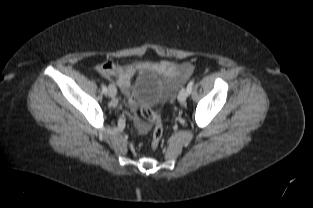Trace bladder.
<instances>
[{
    "instance_id": "31cf9c89",
    "label": "bladder",
    "mask_w": 313,
    "mask_h": 208,
    "mask_svg": "<svg viewBox=\"0 0 313 208\" xmlns=\"http://www.w3.org/2000/svg\"><path fill=\"white\" fill-rule=\"evenodd\" d=\"M167 85L157 75L144 73L140 76L135 88L132 91V98L135 102L160 106L167 96ZM149 106V105H148Z\"/></svg>"
}]
</instances>
